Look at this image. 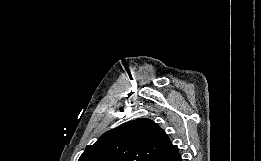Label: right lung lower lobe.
Returning <instances> with one entry per match:
<instances>
[{
    "label": "right lung lower lobe",
    "instance_id": "98d812e1",
    "mask_svg": "<svg viewBox=\"0 0 261 161\" xmlns=\"http://www.w3.org/2000/svg\"><path fill=\"white\" fill-rule=\"evenodd\" d=\"M161 161H182V159L179 152H176L175 154L168 156Z\"/></svg>",
    "mask_w": 261,
    "mask_h": 161
}]
</instances>
